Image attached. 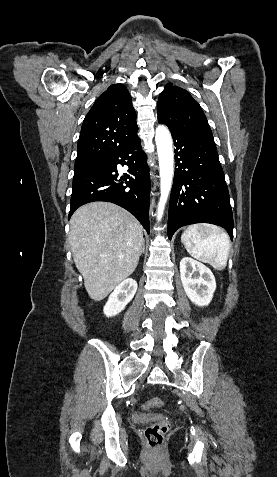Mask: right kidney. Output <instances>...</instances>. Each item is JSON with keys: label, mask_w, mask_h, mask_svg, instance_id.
<instances>
[{"label": "right kidney", "mask_w": 277, "mask_h": 477, "mask_svg": "<svg viewBox=\"0 0 277 477\" xmlns=\"http://www.w3.org/2000/svg\"><path fill=\"white\" fill-rule=\"evenodd\" d=\"M137 286V282L132 278L125 279L121 282L109 296L103 309L104 314L107 317L119 314L133 299L137 291Z\"/></svg>", "instance_id": "ca27d5eb"}]
</instances>
